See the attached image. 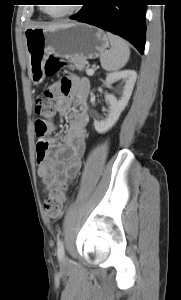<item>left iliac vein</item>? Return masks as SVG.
Wrapping results in <instances>:
<instances>
[{
  "mask_svg": "<svg viewBox=\"0 0 181 300\" xmlns=\"http://www.w3.org/2000/svg\"><path fill=\"white\" fill-rule=\"evenodd\" d=\"M69 264H70L69 259L66 256L62 257L60 262L61 267L66 268L69 266Z\"/></svg>",
  "mask_w": 181,
  "mask_h": 300,
  "instance_id": "left-iliac-vein-1",
  "label": "left iliac vein"
}]
</instances>
